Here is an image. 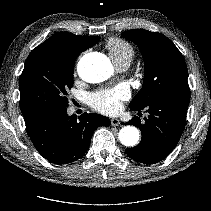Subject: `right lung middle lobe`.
<instances>
[{
  "instance_id": "1",
  "label": "right lung middle lobe",
  "mask_w": 211,
  "mask_h": 211,
  "mask_svg": "<svg viewBox=\"0 0 211 211\" xmlns=\"http://www.w3.org/2000/svg\"><path fill=\"white\" fill-rule=\"evenodd\" d=\"M74 60L55 57L36 47L28 56L19 79L20 109L24 119L44 111L67 108V90L73 86Z\"/></svg>"
}]
</instances>
